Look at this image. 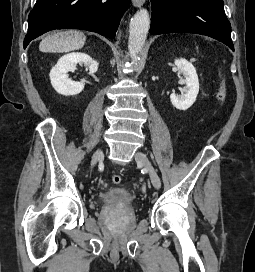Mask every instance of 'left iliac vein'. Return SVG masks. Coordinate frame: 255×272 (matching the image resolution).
Instances as JSON below:
<instances>
[{
	"label": "left iliac vein",
	"mask_w": 255,
	"mask_h": 272,
	"mask_svg": "<svg viewBox=\"0 0 255 272\" xmlns=\"http://www.w3.org/2000/svg\"><path fill=\"white\" fill-rule=\"evenodd\" d=\"M135 160L139 165L143 166L148 171L153 186L156 189H159L161 187L160 178H159L156 170L154 169L153 165L149 161L148 157L146 156V154L138 151L135 154Z\"/></svg>",
	"instance_id": "left-iliac-vein-1"
}]
</instances>
